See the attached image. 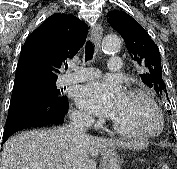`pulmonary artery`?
I'll return each mask as SVG.
<instances>
[{"label": "pulmonary artery", "mask_w": 177, "mask_h": 169, "mask_svg": "<svg viewBox=\"0 0 177 169\" xmlns=\"http://www.w3.org/2000/svg\"><path fill=\"white\" fill-rule=\"evenodd\" d=\"M122 68V62L119 57L108 58V69L112 72H119ZM74 70L72 73L66 74L61 79V84L68 85L83 81L95 79L99 76V71L95 68H83L78 66H72Z\"/></svg>", "instance_id": "e3ab8cb5"}]
</instances>
